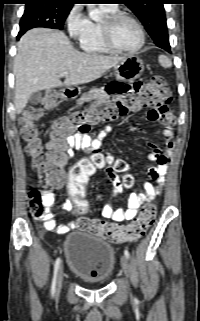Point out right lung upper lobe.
Segmentation results:
<instances>
[{
  "label": "right lung upper lobe",
  "mask_w": 200,
  "mask_h": 321,
  "mask_svg": "<svg viewBox=\"0 0 200 321\" xmlns=\"http://www.w3.org/2000/svg\"><path fill=\"white\" fill-rule=\"evenodd\" d=\"M24 1L26 2V4L31 2H51L59 6L72 7L77 0H24Z\"/></svg>",
  "instance_id": "obj_1"
}]
</instances>
